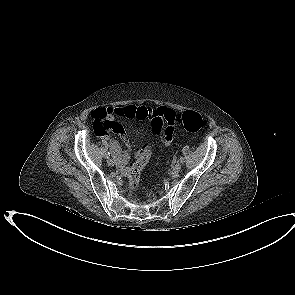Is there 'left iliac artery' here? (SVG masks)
Segmentation results:
<instances>
[{
    "instance_id": "44dca946",
    "label": "left iliac artery",
    "mask_w": 295,
    "mask_h": 295,
    "mask_svg": "<svg viewBox=\"0 0 295 295\" xmlns=\"http://www.w3.org/2000/svg\"><path fill=\"white\" fill-rule=\"evenodd\" d=\"M179 161H180L181 163H184V162H185V158H184V157H180Z\"/></svg>"
}]
</instances>
